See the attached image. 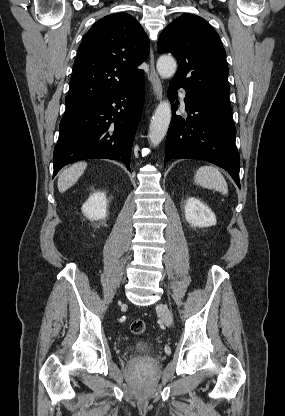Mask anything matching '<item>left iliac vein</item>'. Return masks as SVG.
Masks as SVG:
<instances>
[{
	"mask_svg": "<svg viewBox=\"0 0 285 416\" xmlns=\"http://www.w3.org/2000/svg\"><path fill=\"white\" fill-rule=\"evenodd\" d=\"M157 311L159 312L160 316L162 317L164 323L167 326H170L173 321L172 314L166 304L160 303L157 306Z\"/></svg>",
	"mask_w": 285,
	"mask_h": 416,
	"instance_id": "1",
	"label": "left iliac vein"
}]
</instances>
